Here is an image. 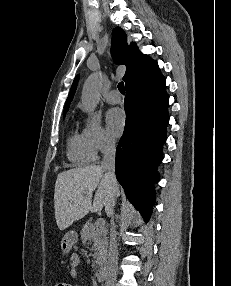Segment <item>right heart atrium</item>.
<instances>
[{"label": "right heart atrium", "mask_w": 231, "mask_h": 286, "mask_svg": "<svg viewBox=\"0 0 231 286\" xmlns=\"http://www.w3.org/2000/svg\"><path fill=\"white\" fill-rule=\"evenodd\" d=\"M83 134L96 155L110 151L115 146L114 139L102 127L97 115H90L86 118Z\"/></svg>", "instance_id": "obj_1"}]
</instances>
